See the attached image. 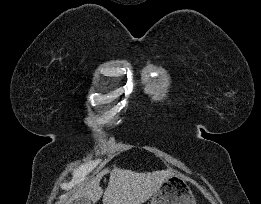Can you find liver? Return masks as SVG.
<instances>
[{
	"label": "liver",
	"mask_w": 261,
	"mask_h": 204,
	"mask_svg": "<svg viewBox=\"0 0 261 204\" xmlns=\"http://www.w3.org/2000/svg\"><path fill=\"white\" fill-rule=\"evenodd\" d=\"M110 173L109 184L105 191L100 187L102 177ZM173 174L171 169L138 173L128 169H104L89 182L81 185L65 202L86 198L94 203L103 197V204H142L161 187Z\"/></svg>",
	"instance_id": "liver-1"
}]
</instances>
